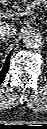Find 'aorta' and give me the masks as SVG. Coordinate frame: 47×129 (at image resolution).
<instances>
[{"label":"aorta","instance_id":"762f6f07","mask_svg":"<svg viewBox=\"0 0 47 129\" xmlns=\"http://www.w3.org/2000/svg\"><path fill=\"white\" fill-rule=\"evenodd\" d=\"M22 41L30 49H38L44 45V37L39 31L34 29L25 31Z\"/></svg>","mask_w":47,"mask_h":129}]
</instances>
